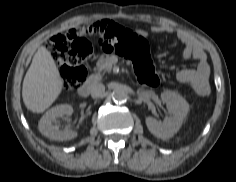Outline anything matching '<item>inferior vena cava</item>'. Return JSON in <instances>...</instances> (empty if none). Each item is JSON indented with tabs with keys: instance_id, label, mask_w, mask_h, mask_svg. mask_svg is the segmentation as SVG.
Returning <instances> with one entry per match:
<instances>
[{
	"instance_id": "1",
	"label": "inferior vena cava",
	"mask_w": 236,
	"mask_h": 182,
	"mask_svg": "<svg viewBox=\"0 0 236 182\" xmlns=\"http://www.w3.org/2000/svg\"><path fill=\"white\" fill-rule=\"evenodd\" d=\"M105 92V86L102 83H96L91 87L92 98H99Z\"/></svg>"
}]
</instances>
